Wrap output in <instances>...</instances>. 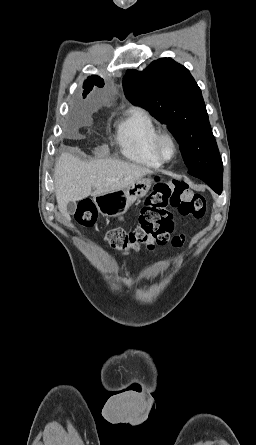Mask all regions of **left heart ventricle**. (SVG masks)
<instances>
[{"mask_svg": "<svg viewBox=\"0 0 256 445\" xmlns=\"http://www.w3.org/2000/svg\"><path fill=\"white\" fill-rule=\"evenodd\" d=\"M162 151H163V154H164L167 158H169V157L172 156V154H173V148H172L171 144H170L168 141H164V142H163V144H162Z\"/></svg>", "mask_w": 256, "mask_h": 445, "instance_id": "b2bd125f", "label": "left heart ventricle"}]
</instances>
